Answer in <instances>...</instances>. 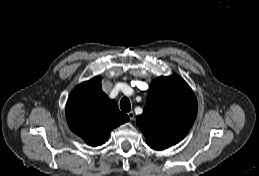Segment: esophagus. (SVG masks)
Segmentation results:
<instances>
[{"instance_id":"esophagus-1","label":"esophagus","mask_w":259,"mask_h":176,"mask_svg":"<svg viewBox=\"0 0 259 176\" xmlns=\"http://www.w3.org/2000/svg\"><path fill=\"white\" fill-rule=\"evenodd\" d=\"M128 116H129L130 120H134V118H135V114L133 111L128 112Z\"/></svg>"}]
</instances>
